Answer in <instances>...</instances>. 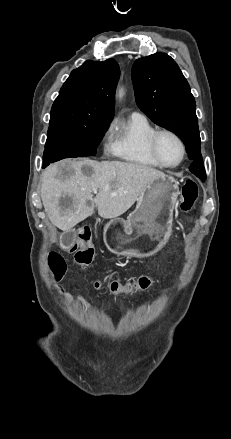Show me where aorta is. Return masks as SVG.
<instances>
[{"instance_id":"obj_1","label":"aorta","mask_w":231,"mask_h":439,"mask_svg":"<svg viewBox=\"0 0 231 439\" xmlns=\"http://www.w3.org/2000/svg\"><path fill=\"white\" fill-rule=\"evenodd\" d=\"M123 96V90H120L119 91V97H122Z\"/></svg>"}]
</instances>
